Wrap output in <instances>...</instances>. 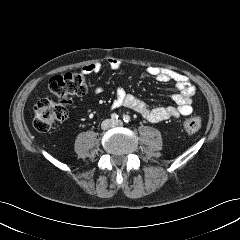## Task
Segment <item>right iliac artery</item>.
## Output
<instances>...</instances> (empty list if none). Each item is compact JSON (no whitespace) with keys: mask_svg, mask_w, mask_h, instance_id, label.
<instances>
[{"mask_svg":"<svg viewBox=\"0 0 240 240\" xmlns=\"http://www.w3.org/2000/svg\"><path fill=\"white\" fill-rule=\"evenodd\" d=\"M111 119H112L113 121H116V120L118 119V115H117L116 113H113V114L111 115Z\"/></svg>","mask_w":240,"mask_h":240,"instance_id":"obj_1","label":"right iliac artery"}]
</instances>
